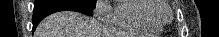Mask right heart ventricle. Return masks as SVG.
<instances>
[{"instance_id": "1", "label": "right heart ventricle", "mask_w": 219, "mask_h": 37, "mask_svg": "<svg viewBox=\"0 0 219 37\" xmlns=\"http://www.w3.org/2000/svg\"><path fill=\"white\" fill-rule=\"evenodd\" d=\"M155 8L157 4L151 0H122L115 8L112 25L119 29L157 34L163 26L148 17V12Z\"/></svg>"}]
</instances>
